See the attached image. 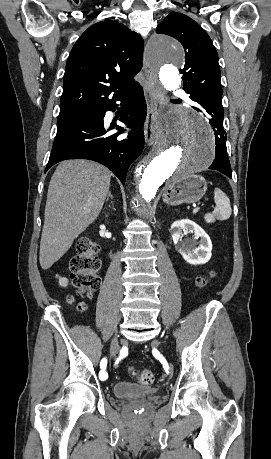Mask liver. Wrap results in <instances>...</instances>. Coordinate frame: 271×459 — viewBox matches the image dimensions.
Listing matches in <instances>:
<instances>
[{"instance_id":"obj_1","label":"liver","mask_w":271,"mask_h":459,"mask_svg":"<svg viewBox=\"0 0 271 459\" xmlns=\"http://www.w3.org/2000/svg\"><path fill=\"white\" fill-rule=\"evenodd\" d=\"M107 168L91 160H65L49 184L39 261L49 269L75 237L99 216L110 186Z\"/></svg>"}]
</instances>
